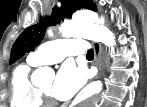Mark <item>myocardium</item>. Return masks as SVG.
<instances>
[{
    "label": "myocardium",
    "instance_id": "myocardium-1",
    "mask_svg": "<svg viewBox=\"0 0 147 107\" xmlns=\"http://www.w3.org/2000/svg\"><path fill=\"white\" fill-rule=\"evenodd\" d=\"M37 94L42 102V104L47 106H52L56 104L53 97L46 91H44L40 86L36 87Z\"/></svg>",
    "mask_w": 147,
    "mask_h": 107
}]
</instances>
